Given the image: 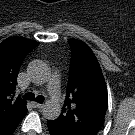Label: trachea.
Returning <instances> with one entry per match:
<instances>
[{"label":"trachea","instance_id":"3493384b","mask_svg":"<svg viewBox=\"0 0 135 135\" xmlns=\"http://www.w3.org/2000/svg\"><path fill=\"white\" fill-rule=\"evenodd\" d=\"M24 99L31 100V101L35 100L38 103H43V101H44V97L43 96L38 95L37 97H35L34 93H32V92L26 93L24 95Z\"/></svg>","mask_w":135,"mask_h":135}]
</instances>
